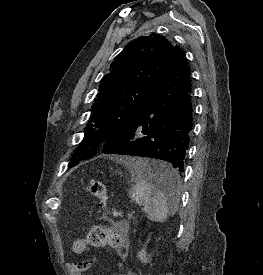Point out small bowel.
I'll return each instance as SVG.
<instances>
[{
  "label": "small bowel",
  "mask_w": 263,
  "mask_h": 275,
  "mask_svg": "<svg viewBox=\"0 0 263 275\" xmlns=\"http://www.w3.org/2000/svg\"><path fill=\"white\" fill-rule=\"evenodd\" d=\"M104 219L107 220L111 229L117 237V243L114 245L118 256L120 259H125L127 256V251L129 248V224L126 220L113 221L110 220L107 216H104ZM121 275H130L129 272ZM131 275H137L132 272Z\"/></svg>",
  "instance_id": "c3829d8e"
}]
</instances>
